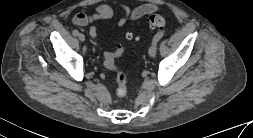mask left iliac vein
I'll list each match as a JSON object with an SVG mask.
<instances>
[{
  "mask_svg": "<svg viewBox=\"0 0 253 138\" xmlns=\"http://www.w3.org/2000/svg\"><path fill=\"white\" fill-rule=\"evenodd\" d=\"M148 53H149L150 57H155V55L157 53V42H152V44L150 45Z\"/></svg>",
  "mask_w": 253,
  "mask_h": 138,
  "instance_id": "1",
  "label": "left iliac vein"
}]
</instances>
